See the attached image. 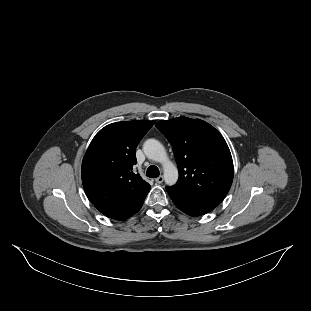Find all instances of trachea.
Here are the masks:
<instances>
[{
  "label": "trachea",
  "mask_w": 311,
  "mask_h": 311,
  "mask_svg": "<svg viewBox=\"0 0 311 311\" xmlns=\"http://www.w3.org/2000/svg\"><path fill=\"white\" fill-rule=\"evenodd\" d=\"M146 176L149 178H157L159 176V169L155 165L148 167L146 171Z\"/></svg>",
  "instance_id": "trachea-1"
}]
</instances>
